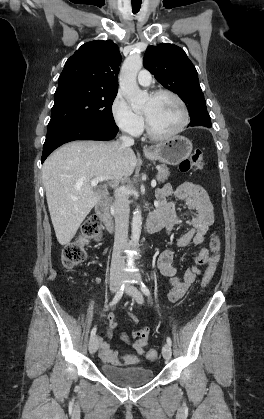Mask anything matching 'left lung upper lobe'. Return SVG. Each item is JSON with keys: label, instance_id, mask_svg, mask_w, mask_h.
Masks as SVG:
<instances>
[{"label": "left lung upper lobe", "instance_id": "left-lung-upper-lobe-1", "mask_svg": "<svg viewBox=\"0 0 264 419\" xmlns=\"http://www.w3.org/2000/svg\"><path fill=\"white\" fill-rule=\"evenodd\" d=\"M144 66L161 85L179 95L190 116L205 114L210 117L196 68L182 48L168 43L149 46L144 55Z\"/></svg>", "mask_w": 264, "mask_h": 419}]
</instances>
